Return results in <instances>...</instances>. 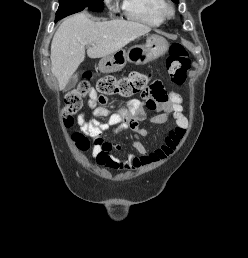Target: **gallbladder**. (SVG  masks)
Returning <instances> with one entry per match:
<instances>
[{
  "mask_svg": "<svg viewBox=\"0 0 248 258\" xmlns=\"http://www.w3.org/2000/svg\"><path fill=\"white\" fill-rule=\"evenodd\" d=\"M77 81H78V75L75 74V75H73V76L70 78V80H69V82H68V84H67V86H66V89H67V90L72 89V88L76 85Z\"/></svg>",
  "mask_w": 248,
  "mask_h": 258,
  "instance_id": "obj_1",
  "label": "gallbladder"
}]
</instances>
